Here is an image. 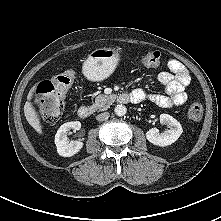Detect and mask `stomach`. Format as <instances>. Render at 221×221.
Segmentation results:
<instances>
[{"label": "stomach", "mask_w": 221, "mask_h": 221, "mask_svg": "<svg viewBox=\"0 0 221 221\" xmlns=\"http://www.w3.org/2000/svg\"><path fill=\"white\" fill-rule=\"evenodd\" d=\"M119 60L120 51L116 49H95L83 64V74L92 81L104 80L114 72Z\"/></svg>", "instance_id": "stomach-1"}]
</instances>
